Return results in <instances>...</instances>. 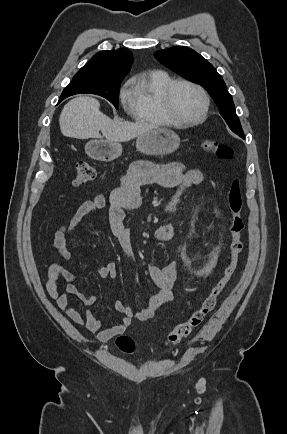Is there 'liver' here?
Returning <instances> with one entry per match:
<instances>
[{"label":"liver","mask_w":287,"mask_h":434,"mask_svg":"<svg viewBox=\"0 0 287 434\" xmlns=\"http://www.w3.org/2000/svg\"><path fill=\"white\" fill-rule=\"evenodd\" d=\"M100 103L88 95L70 100L63 108L59 125L61 133L76 139L101 138L100 131L108 141H129L155 125L143 121L136 123L113 121L100 110Z\"/></svg>","instance_id":"obj_1"}]
</instances>
